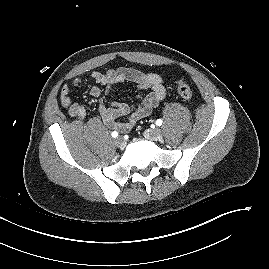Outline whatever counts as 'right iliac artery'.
<instances>
[{
  "label": "right iliac artery",
  "instance_id": "82829eb1",
  "mask_svg": "<svg viewBox=\"0 0 269 269\" xmlns=\"http://www.w3.org/2000/svg\"><path fill=\"white\" fill-rule=\"evenodd\" d=\"M111 135H112V137H114V138L118 137V133H117L116 131H113Z\"/></svg>",
  "mask_w": 269,
  "mask_h": 269
}]
</instances>
